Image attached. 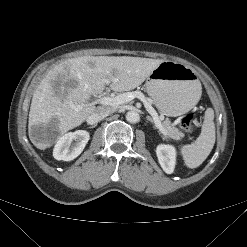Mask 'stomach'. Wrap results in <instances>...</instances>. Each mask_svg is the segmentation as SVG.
<instances>
[{"label": "stomach", "mask_w": 247, "mask_h": 247, "mask_svg": "<svg viewBox=\"0 0 247 247\" xmlns=\"http://www.w3.org/2000/svg\"><path fill=\"white\" fill-rule=\"evenodd\" d=\"M145 89L167 116L188 112L201 96V83L193 69L173 61L161 62L147 77Z\"/></svg>", "instance_id": "stomach-1"}]
</instances>
